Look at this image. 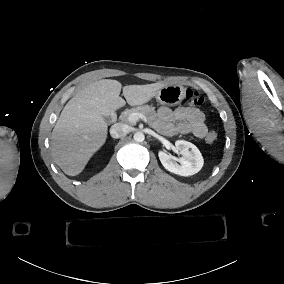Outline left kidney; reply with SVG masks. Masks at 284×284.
<instances>
[{
	"mask_svg": "<svg viewBox=\"0 0 284 284\" xmlns=\"http://www.w3.org/2000/svg\"><path fill=\"white\" fill-rule=\"evenodd\" d=\"M175 148L180 151L182 157L176 162V157L159 151V159L168 171L181 176H190L198 173L204 164V160L199 149L192 143L185 140H177Z\"/></svg>",
	"mask_w": 284,
	"mask_h": 284,
	"instance_id": "5707ae66",
	"label": "left kidney"
}]
</instances>
